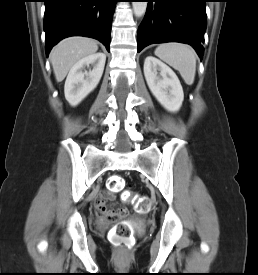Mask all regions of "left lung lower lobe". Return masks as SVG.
Instances as JSON below:
<instances>
[{
    "instance_id": "1",
    "label": "left lung lower lobe",
    "mask_w": 258,
    "mask_h": 275,
    "mask_svg": "<svg viewBox=\"0 0 258 275\" xmlns=\"http://www.w3.org/2000/svg\"><path fill=\"white\" fill-rule=\"evenodd\" d=\"M146 15L138 28V52L153 43L192 45L203 57L206 0H147Z\"/></svg>"
}]
</instances>
